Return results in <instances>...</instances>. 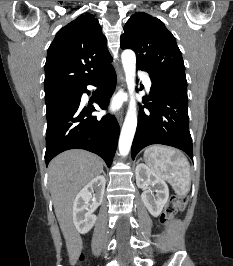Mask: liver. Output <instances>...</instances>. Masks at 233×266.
<instances>
[{"label":"liver","instance_id":"obj_1","mask_svg":"<svg viewBox=\"0 0 233 266\" xmlns=\"http://www.w3.org/2000/svg\"><path fill=\"white\" fill-rule=\"evenodd\" d=\"M103 170L100 158L88 151L73 149L55 157L48 166V183L55 214L70 248L76 241L72 207L78 191L99 176Z\"/></svg>","mask_w":233,"mask_h":266}]
</instances>
